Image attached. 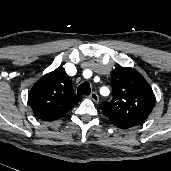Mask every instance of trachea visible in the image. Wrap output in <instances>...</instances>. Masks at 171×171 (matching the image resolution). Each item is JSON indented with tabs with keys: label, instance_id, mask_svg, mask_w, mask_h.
Masks as SVG:
<instances>
[{
	"label": "trachea",
	"instance_id": "3493384b",
	"mask_svg": "<svg viewBox=\"0 0 171 171\" xmlns=\"http://www.w3.org/2000/svg\"><path fill=\"white\" fill-rule=\"evenodd\" d=\"M91 92V87L88 82H84L81 85H79L77 89V94L78 95H89Z\"/></svg>",
	"mask_w": 171,
	"mask_h": 171
}]
</instances>
